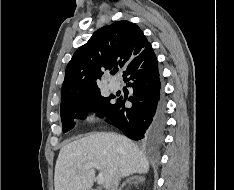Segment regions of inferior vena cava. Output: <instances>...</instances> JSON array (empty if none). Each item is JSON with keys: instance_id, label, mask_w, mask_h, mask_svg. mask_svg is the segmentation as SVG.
Returning <instances> with one entry per match:
<instances>
[{"instance_id": "obj_1", "label": "inferior vena cava", "mask_w": 234, "mask_h": 190, "mask_svg": "<svg viewBox=\"0 0 234 190\" xmlns=\"http://www.w3.org/2000/svg\"><path fill=\"white\" fill-rule=\"evenodd\" d=\"M119 180H120V174L117 173L112 179L110 185L108 186V190H118L117 187L119 184Z\"/></svg>"}]
</instances>
